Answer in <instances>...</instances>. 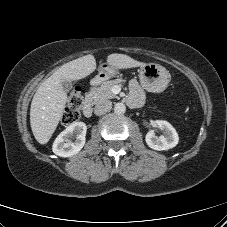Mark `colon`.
I'll use <instances>...</instances> for the list:
<instances>
[{
  "instance_id": "5ec220e1",
  "label": "colon",
  "mask_w": 227,
  "mask_h": 227,
  "mask_svg": "<svg viewBox=\"0 0 227 227\" xmlns=\"http://www.w3.org/2000/svg\"><path fill=\"white\" fill-rule=\"evenodd\" d=\"M83 100V95L79 88H75L70 93L62 116L63 124L69 125L75 123L80 118Z\"/></svg>"
}]
</instances>
